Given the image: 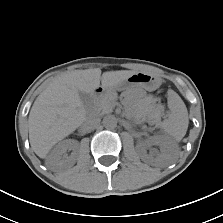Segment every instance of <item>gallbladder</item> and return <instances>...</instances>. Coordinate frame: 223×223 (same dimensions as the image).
<instances>
[{"mask_svg": "<svg viewBox=\"0 0 223 223\" xmlns=\"http://www.w3.org/2000/svg\"><path fill=\"white\" fill-rule=\"evenodd\" d=\"M79 96L81 101L83 102L84 105H87L88 102L91 100V97L89 94L84 93V92H79Z\"/></svg>", "mask_w": 223, "mask_h": 223, "instance_id": "obj_1", "label": "gallbladder"}]
</instances>
